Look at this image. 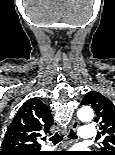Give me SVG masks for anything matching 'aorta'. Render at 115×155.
Wrapping results in <instances>:
<instances>
[{
  "label": "aorta",
  "mask_w": 115,
  "mask_h": 155,
  "mask_svg": "<svg viewBox=\"0 0 115 155\" xmlns=\"http://www.w3.org/2000/svg\"><path fill=\"white\" fill-rule=\"evenodd\" d=\"M77 117L81 121H91L94 117L92 108L89 106H84L80 108L77 112Z\"/></svg>",
  "instance_id": "obj_1"
}]
</instances>
